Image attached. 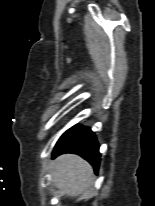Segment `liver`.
Masks as SVG:
<instances>
[{
	"label": "liver",
	"mask_w": 155,
	"mask_h": 206,
	"mask_svg": "<svg viewBox=\"0 0 155 206\" xmlns=\"http://www.w3.org/2000/svg\"><path fill=\"white\" fill-rule=\"evenodd\" d=\"M51 172L56 187L69 197H78L89 191L94 180L91 165L81 157L72 154L55 159Z\"/></svg>",
	"instance_id": "1"
}]
</instances>
